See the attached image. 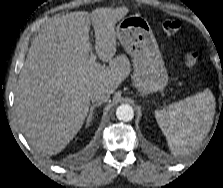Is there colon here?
<instances>
[{"label": "colon", "mask_w": 223, "mask_h": 188, "mask_svg": "<svg viewBox=\"0 0 223 188\" xmlns=\"http://www.w3.org/2000/svg\"><path fill=\"white\" fill-rule=\"evenodd\" d=\"M162 30L167 34H176L181 29V22L177 19H166L161 24ZM199 56L197 51L190 50L185 53L184 63L187 67H195L198 63Z\"/></svg>", "instance_id": "5ec220e1"}]
</instances>
